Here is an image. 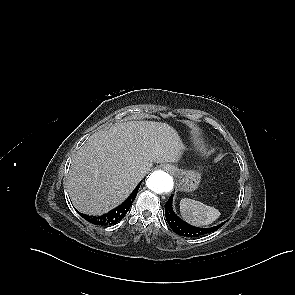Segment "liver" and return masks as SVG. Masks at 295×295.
Masks as SVG:
<instances>
[{
    "instance_id": "obj_1",
    "label": "liver",
    "mask_w": 295,
    "mask_h": 295,
    "mask_svg": "<svg viewBox=\"0 0 295 295\" xmlns=\"http://www.w3.org/2000/svg\"><path fill=\"white\" fill-rule=\"evenodd\" d=\"M184 150L177 131L162 122H117L97 131L74 156L71 201L82 213H107L128 198L153 163L178 162Z\"/></svg>"
}]
</instances>
